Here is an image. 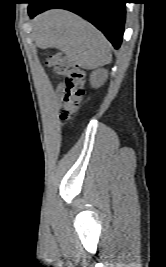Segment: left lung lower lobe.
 Masks as SVG:
<instances>
[{"label": "left lung lower lobe", "instance_id": "1", "mask_svg": "<svg viewBox=\"0 0 166 267\" xmlns=\"http://www.w3.org/2000/svg\"><path fill=\"white\" fill-rule=\"evenodd\" d=\"M28 3L31 18L51 8L67 9L95 25L116 49L121 45L127 0H29Z\"/></svg>", "mask_w": 166, "mask_h": 267}]
</instances>
